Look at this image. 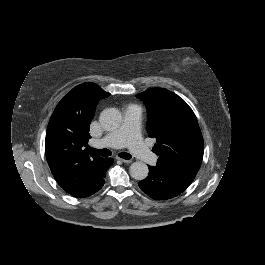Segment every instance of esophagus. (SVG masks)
Instances as JSON below:
<instances>
[{
  "label": "esophagus",
  "instance_id": "34e87169",
  "mask_svg": "<svg viewBox=\"0 0 265 265\" xmlns=\"http://www.w3.org/2000/svg\"><path fill=\"white\" fill-rule=\"evenodd\" d=\"M117 159L122 161V162H124V163H131L132 162V160H130V159H123V158H120V157H117Z\"/></svg>",
  "mask_w": 265,
  "mask_h": 265
}]
</instances>
